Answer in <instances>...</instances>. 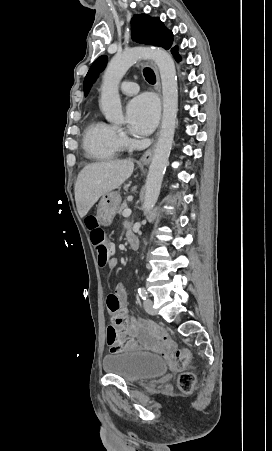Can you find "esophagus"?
Wrapping results in <instances>:
<instances>
[{
	"mask_svg": "<svg viewBox=\"0 0 272 451\" xmlns=\"http://www.w3.org/2000/svg\"><path fill=\"white\" fill-rule=\"evenodd\" d=\"M151 66L155 72L156 75V85H155V90L156 92H158L159 94L161 93V82H160V76H159V71L157 68V65L154 62H151ZM153 155V147L149 148L141 157V159L139 160V164L140 165H148V163H150L151 158Z\"/></svg>",
	"mask_w": 272,
	"mask_h": 451,
	"instance_id": "1",
	"label": "esophagus"
}]
</instances>
